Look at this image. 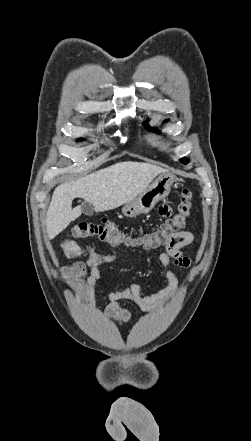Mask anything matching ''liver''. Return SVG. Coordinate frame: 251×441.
I'll list each match as a JSON object with an SVG mask.
<instances>
[{"label": "liver", "instance_id": "6515ba94", "mask_svg": "<svg viewBox=\"0 0 251 441\" xmlns=\"http://www.w3.org/2000/svg\"><path fill=\"white\" fill-rule=\"evenodd\" d=\"M163 172L167 170L150 163L124 161L57 186L47 211L48 237L55 238L81 215L79 206L72 209L75 198L84 199L96 212L113 210L137 197Z\"/></svg>", "mask_w": 251, "mask_h": 441}]
</instances>
